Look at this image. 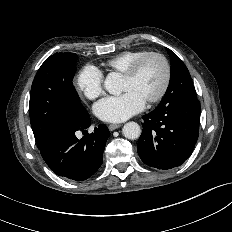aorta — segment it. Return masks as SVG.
Listing matches in <instances>:
<instances>
[{"label":"aorta","mask_w":232,"mask_h":232,"mask_svg":"<svg viewBox=\"0 0 232 232\" xmlns=\"http://www.w3.org/2000/svg\"><path fill=\"white\" fill-rule=\"evenodd\" d=\"M104 87L110 94L119 95L122 92V79L117 73H110L104 81ZM123 135L130 140L139 138L140 126L136 122H128L123 126Z\"/></svg>","instance_id":"obj_1"}]
</instances>
